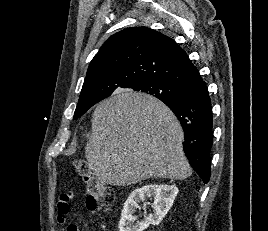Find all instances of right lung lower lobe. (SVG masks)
Wrapping results in <instances>:
<instances>
[{
  "label": "right lung lower lobe",
  "mask_w": 268,
  "mask_h": 231,
  "mask_svg": "<svg viewBox=\"0 0 268 231\" xmlns=\"http://www.w3.org/2000/svg\"><path fill=\"white\" fill-rule=\"evenodd\" d=\"M185 91L181 99L161 101L180 121L185 135L184 152L190 165L206 184L211 174L210 152L213 142L211 100L202 79Z\"/></svg>",
  "instance_id": "obj_1"
}]
</instances>
